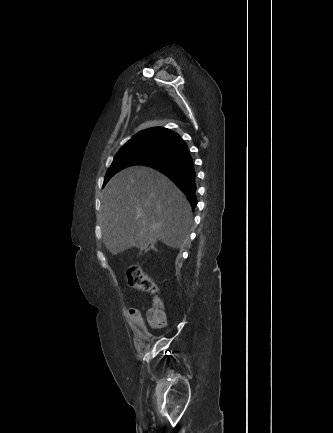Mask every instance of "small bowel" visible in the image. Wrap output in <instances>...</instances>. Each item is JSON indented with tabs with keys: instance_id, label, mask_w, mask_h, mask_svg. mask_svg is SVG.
<instances>
[{
	"instance_id": "c3829d8e",
	"label": "small bowel",
	"mask_w": 333,
	"mask_h": 433,
	"mask_svg": "<svg viewBox=\"0 0 333 433\" xmlns=\"http://www.w3.org/2000/svg\"><path fill=\"white\" fill-rule=\"evenodd\" d=\"M127 316L131 327L133 328L136 335L143 339L148 340L150 337L149 331L145 326L143 317L139 309L131 307L127 310ZM152 328H155V325L150 323Z\"/></svg>"
}]
</instances>
